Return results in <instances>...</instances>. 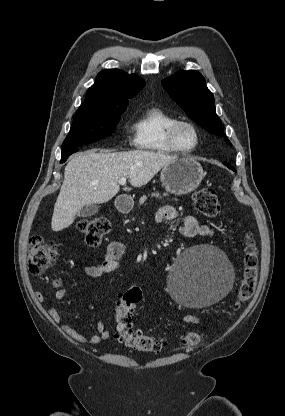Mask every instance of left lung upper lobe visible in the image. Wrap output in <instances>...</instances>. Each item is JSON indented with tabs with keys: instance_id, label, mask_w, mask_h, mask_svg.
Listing matches in <instances>:
<instances>
[{
	"instance_id": "1",
	"label": "left lung upper lobe",
	"mask_w": 285,
	"mask_h": 416,
	"mask_svg": "<svg viewBox=\"0 0 285 416\" xmlns=\"http://www.w3.org/2000/svg\"><path fill=\"white\" fill-rule=\"evenodd\" d=\"M164 89L188 116L208 132L223 136L222 122L216 114L214 97L205 84L204 77L195 70L179 71L162 81Z\"/></svg>"
}]
</instances>
